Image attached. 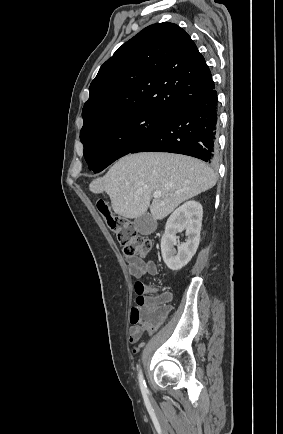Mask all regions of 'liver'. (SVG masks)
I'll use <instances>...</instances> for the list:
<instances>
[{
	"label": "liver",
	"instance_id": "obj_1",
	"mask_svg": "<svg viewBox=\"0 0 283 434\" xmlns=\"http://www.w3.org/2000/svg\"><path fill=\"white\" fill-rule=\"evenodd\" d=\"M217 178L204 162L186 155L142 152L119 159L104 177L94 179L89 189L106 192L113 211L125 218H138L150 208L154 220L167 217L182 202L211 189ZM161 197L152 203V194Z\"/></svg>",
	"mask_w": 283,
	"mask_h": 434
}]
</instances>
